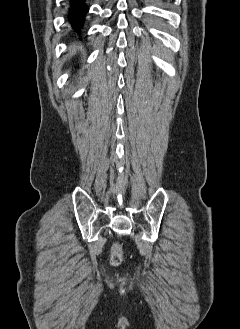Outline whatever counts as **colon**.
<instances>
[{
    "label": "colon",
    "mask_w": 240,
    "mask_h": 329,
    "mask_svg": "<svg viewBox=\"0 0 240 329\" xmlns=\"http://www.w3.org/2000/svg\"><path fill=\"white\" fill-rule=\"evenodd\" d=\"M122 260V248L119 243H114L111 248L110 262L113 266H119Z\"/></svg>",
    "instance_id": "obj_1"
}]
</instances>
